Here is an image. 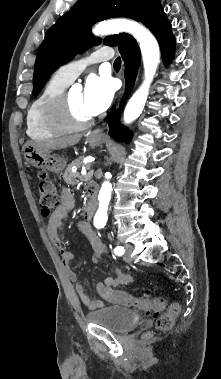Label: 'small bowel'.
I'll list each match as a JSON object with an SVG mask.
<instances>
[{"mask_svg":"<svg viewBox=\"0 0 221 379\" xmlns=\"http://www.w3.org/2000/svg\"><path fill=\"white\" fill-rule=\"evenodd\" d=\"M75 199L73 194L68 190H63L60 198V205L51 215L47 222L46 231L51 240V242L59 249L61 255L62 266L68 276L69 280L73 283L75 291L81 300V302L89 309H95L102 305L100 300H92L85 292L82 284L80 283L77 274L71 269V263L73 261V254L68 249L63 247L60 240V231L62 223L67 217L68 213L74 208ZM79 230L86 236L89 240L92 249L93 256L92 261L97 262L106 253V246L97 236V234L92 230L91 226L87 221H81L78 224ZM133 278L131 275L124 273L120 269H115L114 276L105 279L103 285L105 286H119L128 285L132 282Z\"/></svg>","mask_w":221,"mask_h":379,"instance_id":"small-bowel-1","label":"small bowel"}]
</instances>
